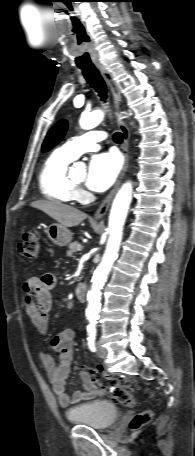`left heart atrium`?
Wrapping results in <instances>:
<instances>
[{"instance_id":"1","label":"left heart atrium","mask_w":195,"mask_h":456,"mask_svg":"<svg viewBox=\"0 0 195 456\" xmlns=\"http://www.w3.org/2000/svg\"><path fill=\"white\" fill-rule=\"evenodd\" d=\"M120 169L121 160L117 154H97L89 162L86 186L93 191H105L114 183Z\"/></svg>"}]
</instances>
